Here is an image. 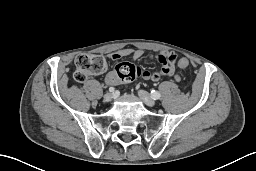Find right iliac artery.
<instances>
[{
    "label": "right iliac artery",
    "instance_id": "1",
    "mask_svg": "<svg viewBox=\"0 0 256 171\" xmlns=\"http://www.w3.org/2000/svg\"><path fill=\"white\" fill-rule=\"evenodd\" d=\"M109 91H110V92H114V88H113V87H110V88H109Z\"/></svg>",
    "mask_w": 256,
    "mask_h": 171
}]
</instances>
